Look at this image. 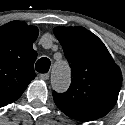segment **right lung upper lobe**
I'll return each instance as SVG.
<instances>
[{"label":"right lung upper lobe","mask_w":125,"mask_h":125,"mask_svg":"<svg viewBox=\"0 0 125 125\" xmlns=\"http://www.w3.org/2000/svg\"><path fill=\"white\" fill-rule=\"evenodd\" d=\"M38 34L37 27L21 21L0 27V107L16 101L36 77L33 42Z\"/></svg>","instance_id":"obj_1"}]
</instances>
